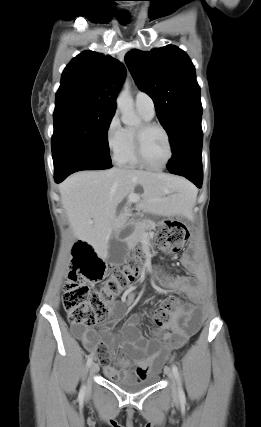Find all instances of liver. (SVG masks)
<instances>
[{
	"label": "liver",
	"mask_w": 261,
	"mask_h": 427,
	"mask_svg": "<svg viewBox=\"0 0 261 427\" xmlns=\"http://www.w3.org/2000/svg\"><path fill=\"white\" fill-rule=\"evenodd\" d=\"M143 188L137 203L139 210L160 216L190 213L196 190L184 178L165 173L112 168L103 171H80L59 185L62 206L77 239L89 243L103 259L114 230L124 227L131 215L124 209L118 216L117 206Z\"/></svg>",
	"instance_id": "1"
}]
</instances>
